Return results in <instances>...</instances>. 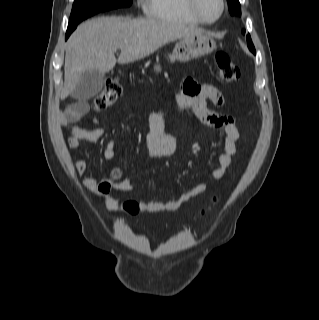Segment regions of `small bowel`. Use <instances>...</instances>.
Returning <instances> with one entry per match:
<instances>
[{"label":"small bowel","mask_w":319,"mask_h":320,"mask_svg":"<svg viewBox=\"0 0 319 320\" xmlns=\"http://www.w3.org/2000/svg\"><path fill=\"white\" fill-rule=\"evenodd\" d=\"M208 102L216 107L224 105L222 93L213 85H200L193 79L186 78L183 82L182 91L176 94L172 102L159 108L151 118V126L146 134V144L153 157L164 158L172 156L176 151V140L162 130L163 118L167 113L178 112L190 109L196 117L205 125L220 129L223 132L222 142L224 150L218 154V166L212 171V179L220 181L231 165L232 157L237 150V142L240 136L239 130L232 116L211 110ZM89 112L86 102H78L59 119V124L67 130L66 144L70 149L80 147L82 141H94L102 138L105 131L97 128L94 131H85L77 126L79 122ZM92 124L99 125L98 120L91 119ZM116 156L115 140L109 139L104 150L103 159L105 162L113 160ZM78 175H83L87 169V163L79 158L75 163ZM84 187L91 193L101 197L108 208L117 205V200L111 196L112 191L130 193L133 186L129 178L119 177L118 172L106 169L102 178L90 175L83 180ZM207 189L206 183H200L191 189L184 191L179 197L166 200H144L140 202V208L147 213L161 211H176L182 204L195 198Z\"/></svg>","instance_id":"1"}]
</instances>
